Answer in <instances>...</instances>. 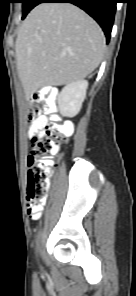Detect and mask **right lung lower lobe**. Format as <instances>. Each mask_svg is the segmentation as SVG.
<instances>
[{"label":"right lung lower lobe","mask_w":136,"mask_h":296,"mask_svg":"<svg viewBox=\"0 0 136 296\" xmlns=\"http://www.w3.org/2000/svg\"><path fill=\"white\" fill-rule=\"evenodd\" d=\"M39 3H72L80 7L97 21L109 41L118 0H40Z\"/></svg>","instance_id":"1"}]
</instances>
